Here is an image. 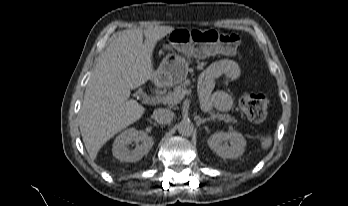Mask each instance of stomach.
Returning <instances> with one entry per match:
<instances>
[{
	"label": "stomach",
	"instance_id": "obj_1",
	"mask_svg": "<svg viewBox=\"0 0 348 206\" xmlns=\"http://www.w3.org/2000/svg\"><path fill=\"white\" fill-rule=\"evenodd\" d=\"M205 42L202 39L193 40L191 37L182 42L181 52L168 53L156 71V78L164 85H173L182 82L188 74V60L196 56H202L198 49L203 48Z\"/></svg>",
	"mask_w": 348,
	"mask_h": 206
}]
</instances>
